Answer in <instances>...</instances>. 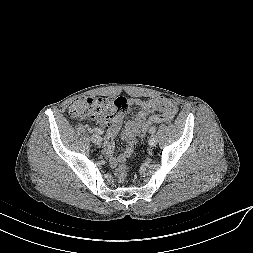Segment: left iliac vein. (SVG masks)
<instances>
[{"mask_svg":"<svg viewBox=\"0 0 253 253\" xmlns=\"http://www.w3.org/2000/svg\"><path fill=\"white\" fill-rule=\"evenodd\" d=\"M157 136L155 134H152L150 137H149V145L150 146H155L157 144Z\"/></svg>","mask_w":253,"mask_h":253,"instance_id":"obj_1","label":"left iliac vein"}]
</instances>
